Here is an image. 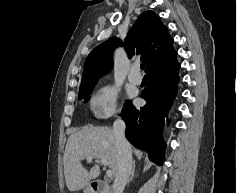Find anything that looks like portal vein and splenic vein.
Masks as SVG:
<instances>
[{"label":"portal vein and splenic vein","instance_id":"portal-vein-and-splenic-vein-1","mask_svg":"<svg viewBox=\"0 0 237 193\" xmlns=\"http://www.w3.org/2000/svg\"><path fill=\"white\" fill-rule=\"evenodd\" d=\"M86 159H87V161H91L93 159V157L92 156H87ZM99 159H100V162L102 163V165L107 166L106 160H104L103 158H99ZM106 175L108 177H112V175H113L112 170H107Z\"/></svg>","mask_w":237,"mask_h":193}]
</instances>
